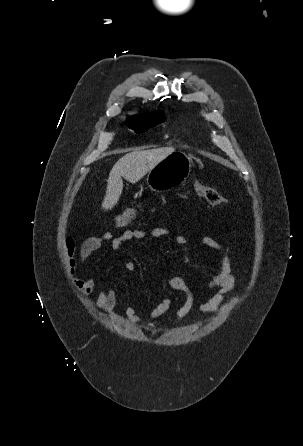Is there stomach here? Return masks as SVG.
<instances>
[{"label":"stomach","instance_id":"1","mask_svg":"<svg viewBox=\"0 0 303 446\" xmlns=\"http://www.w3.org/2000/svg\"><path fill=\"white\" fill-rule=\"evenodd\" d=\"M191 158L183 152H173L148 173L147 185L152 191L163 192L183 184L190 174Z\"/></svg>","mask_w":303,"mask_h":446}]
</instances>
